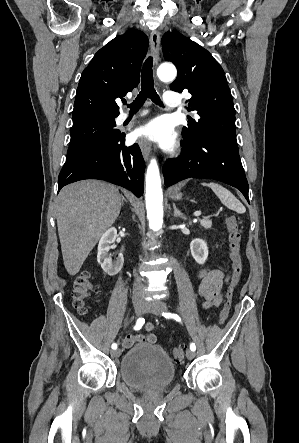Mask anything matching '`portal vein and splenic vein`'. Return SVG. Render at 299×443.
I'll use <instances>...</instances> for the list:
<instances>
[{
    "label": "portal vein and splenic vein",
    "mask_w": 299,
    "mask_h": 443,
    "mask_svg": "<svg viewBox=\"0 0 299 443\" xmlns=\"http://www.w3.org/2000/svg\"><path fill=\"white\" fill-rule=\"evenodd\" d=\"M201 215V212L200 211H196V212H194V216L195 217H199Z\"/></svg>",
    "instance_id": "1"
}]
</instances>
